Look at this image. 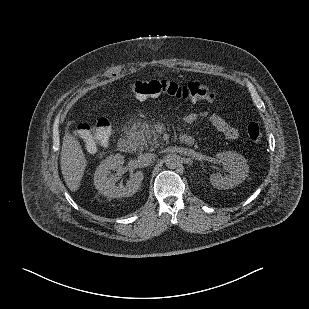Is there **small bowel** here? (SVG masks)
Listing matches in <instances>:
<instances>
[{
	"instance_id": "small-bowel-1",
	"label": "small bowel",
	"mask_w": 309,
	"mask_h": 309,
	"mask_svg": "<svg viewBox=\"0 0 309 309\" xmlns=\"http://www.w3.org/2000/svg\"><path fill=\"white\" fill-rule=\"evenodd\" d=\"M203 116H206L212 126L220 133H222L227 139L235 140L238 138V130L230 125L223 117L216 113L203 112ZM199 115L198 113L191 112L186 115L185 121L188 124H193L197 121ZM96 149V148H95ZM94 149V150H95ZM93 150V151H94Z\"/></svg>"
}]
</instances>
